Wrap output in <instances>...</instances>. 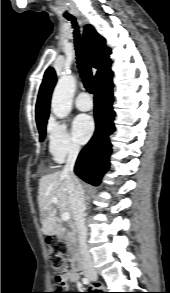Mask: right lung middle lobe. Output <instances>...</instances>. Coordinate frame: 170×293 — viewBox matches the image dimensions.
<instances>
[{"label": "right lung middle lobe", "instance_id": "right-lung-middle-lobe-1", "mask_svg": "<svg viewBox=\"0 0 170 293\" xmlns=\"http://www.w3.org/2000/svg\"><path fill=\"white\" fill-rule=\"evenodd\" d=\"M45 127H42V128L39 129L40 141H43L44 140V137H45Z\"/></svg>", "mask_w": 170, "mask_h": 293}]
</instances>
